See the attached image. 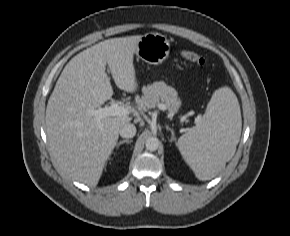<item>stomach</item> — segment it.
<instances>
[{"instance_id": "stomach-1", "label": "stomach", "mask_w": 290, "mask_h": 236, "mask_svg": "<svg viewBox=\"0 0 290 236\" xmlns=\"http://www.w3.org/2000/svg\"><path fill=\"white\" fill-rule=\"evenodd\" d=\"M169 51L170 44L164 35L147 33L137 43L135 54L148 64L158 65L167 59Z\"/></svg>"}]
</instances>
